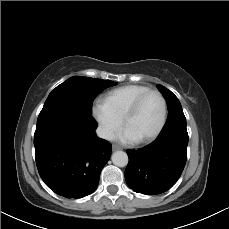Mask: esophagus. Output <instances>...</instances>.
Masks as SVG:
<instances>
[{
    "instance_id": "obj_1",
    "label": "esophagus",
    "mask_w": 229,
    "mask_h": 229,
    "mask_svg": "<svg viewBox=\"0 0 229 229\" xmlns=\"http://www.w3.org/2000/svg\"><path fill=\"white\" fill-rule=\"evenodd\" d=\"M120 149H121L120 146H118V145H112V150L113 151H117V150H120Z\"/></svg>"
}]
</instances>
